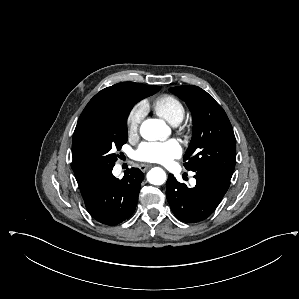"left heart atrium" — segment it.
I'll return each instance as SVG.
<instances>
[{
    "instance_id": "1",
    "label": "left heart atrium",
    "mask_w": 299,
    "mask_h": 299,
    "mask_svg": "<svg viewBox=\"0 0 299 299\" xmlns=\"http://www.w3.org/2000/svg\"><path fill=\"white\" fill-rule=\"evenodd\" d=\"M182 148L175 140L165 142L145 141L134 152V158L144 162L169 164L180 157Z\"/></svg>"
}]
</instances>
